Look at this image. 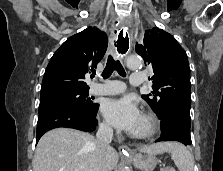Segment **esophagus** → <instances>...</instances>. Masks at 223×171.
Listing matches in <instances>:
<instances>
[{"label":"esophagus","instance_id":"1","mask_svg":"<svg viewBox=\"0 0 223 171\" xmlns=\"http://www.w3.org/2000/svg\"><path fill=\"white\" fill-rule=\"evenodd\" d=\"M117 56H122L127 50L130 49L129 43H131L132 35L130 34V31L127 30L126 26H122L121 30L117 31ZM120 150L122 153H130L131 150L128 146L122 145L120 146Z\"/></svg>","mask_w":223,"mask_h":171}]
</instances>
